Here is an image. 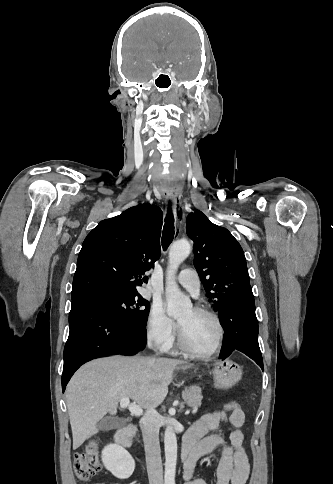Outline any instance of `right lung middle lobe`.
Segmentation results:
<instances>
[{
  "mask_svg": "<svg viewBox=\"0 0 333 484\" xmlns=\"http://www.w3.org/2000/svg\"><path fill=\"white\" fill-rule=\"evenodd\" d=\"M87 295L104 302L109 310L132 328L146 330L149 302L137 293L120 294L113 291H95Z\"/></svg>",
  "mask_w": 333,
  "mask_h": 484,
  "instance_id": "obj_1",
  "label": "right lung middle lobe"
}]
</instances>
